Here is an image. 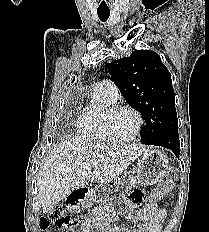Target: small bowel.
<instances>
[{
  "instance_id": "obj_1",
  "label": "small bowel",
  "mask_w": 209,
  "mask_h": 232,
  "mask_svg": "<svg viewBox=\"0 0 209 232\" xmlns=\"http://www.w3.org/2000/svg\"><path fill=\"white\" fill-rule=\"evenodd\" d=\"M127 198V213H136V208L141 207L138 218L143 223L137 228H111L108 225V220L114 216L111 209L105 210L98 214L93 221H81L80 232H161L162 224L166 218V211L158 207L155 200L146 203L148 199L147 190H144V185H135V190H128Z\"/></svg>"
}]
</instances>
